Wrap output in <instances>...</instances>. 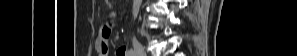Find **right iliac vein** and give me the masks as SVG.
Listing matches in <instances>:
<instances>
[{"instance_id":"63e3f726","label":"right iliac vein","mask_w":297,"mask_h":56,"mask_svg":"<svg viewBox=\"0 0 297 56\" xmlns=\"http://www.w3.org/2000/svg\"><path fill=\"white\" fill-rule=\"evenodd\" d=\"M133 47L138 56H146L145 49L138 40H133Z\"/></svg>"}]
</instances>
